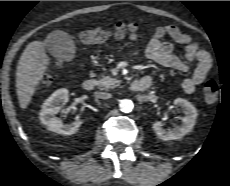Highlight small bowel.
<instances>
[{
  "instance_id": "c3829d8e",
  "label": "small bowel",
  "mask_w": 230,
  "mask_h": 186,
  "mask_svg": "<svg viewBox=\"0 0 230 186\" xmlns=\"http://www.w3.org/2000/svg\"><path fill=\"white\" fill-rule=\"evenodd\" d=\"M166 37L185 47L184 59L173 54V45L164 40ZM133 53L137 54L138 50L135 49ZM145 54L150 60L163 67L179 72L191 71V75L185 78L181 85L182 90L188 94L193 93L196 87L205 80L211 68L209 54L175 25L155 28L145 46ZM194 62H196L195 66H193Z\"/></svg>"
}]
</instances>
